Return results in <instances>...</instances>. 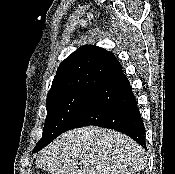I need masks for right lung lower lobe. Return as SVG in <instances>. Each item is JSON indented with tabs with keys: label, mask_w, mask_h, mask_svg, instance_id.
Masks as SVG:
<instances>
[{
	"label": "right lung lower lobe",
	"mask_w": 175,
	"mask_h": 174,
	"mask_svg": "<svg viewBox=\"0 0 175 174\" xmlns=\"http://www.w3.org/2000/svg\"><path fill=\"white\" fill-rule=\"evenodd\" d=\"M95 125L130 136L146 148L145 128L130 83L119 70L93 88L66 131ZM42 148L35 149L34 152Z\"/></svg>",
	"instance_id": "obj_1"
}]
</instances>
